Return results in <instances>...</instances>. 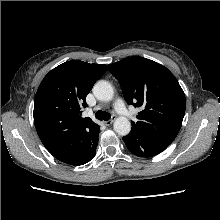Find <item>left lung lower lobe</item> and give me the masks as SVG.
Returning <instances> with one entry per match:
<instances>
[{
	"mask_svg": "<svg viewBox=\"0 0 220 220\" xmlns=\"http://www.w3.org/2000/svg\"><path fill=\"white\" fill-rule=\"evenodd\" d=\"M123 140L129 151L139 157H152L161 153L167 148V146L151 143L144 137L136 136L132 133L124 136Z\"/></svg>",
	"mask_w": 220,
	"mask_h": 220,
	"instance_id": "left-lung-lower-lobe-1",
	"label": "left lung lower lobe"
}]
</instances>
